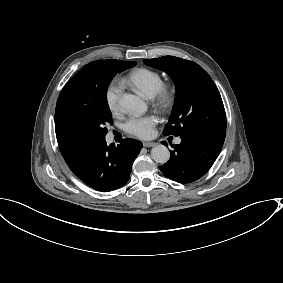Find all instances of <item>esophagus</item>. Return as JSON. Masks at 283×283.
I'll return each instance as SVG.
<instances>
[{"mask_svg":"<svg viewBox=\"0 0 283 283\" xmlns=\"http://www.w3.org/2000/svg\"><path fill=\"white\" fill-rule=\"evenodd\" d=\"M158 143H156V142H144L143 143V146L144 147H154V146H156Z\"/></svg>","mask_w":283,"mask_h":283,"instance_id":"34e87169","label":"esophagus"}]
</instances>
